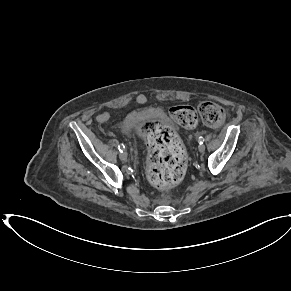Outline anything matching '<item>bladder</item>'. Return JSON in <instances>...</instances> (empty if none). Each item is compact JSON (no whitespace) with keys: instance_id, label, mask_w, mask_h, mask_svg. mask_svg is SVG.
I'll return each mask as SVG.
<instances>
[{"instance_id":"31cf9c89","label":"bladder","mask_w":291,"mask_h":291,"mask_svg":"<svg viewBox=\"0 0 291 291\" xmlns=\"http://www.w3.org/2000/svg\"><path fill=\"white\" fill-rule=\"evenodd\" d=\"M140 123L137 117H128L124 123L123 128L126 132H134L139 130Z\"/></svg>"}]
</instances>
